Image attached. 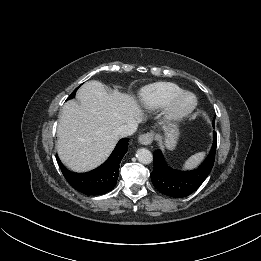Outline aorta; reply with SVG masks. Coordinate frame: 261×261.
Wrapping results in <instances>:
<instances>
[{
	"mask_svg": "<svg viewBox=\"0 0 261 261\" xmlns=\"http://www.w3.org/2000/svg\"><path fill=\"white\" fill-rule=\"evenodd\" d=\"M136 157L143 164H150L153 160L152 153L146 148H140L136 152Z\"/></svg>",
	"mask_w": 261,
	"mask_h": 261,
	"instance_id": "762f6f07",
	"label": "aorta"
}]
</instances>
